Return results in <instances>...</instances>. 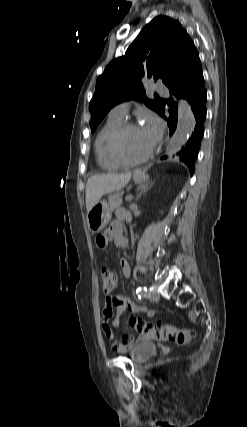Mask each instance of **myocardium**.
Returning a JSON list of instances; mask_svg holds the SVG:
<instances>
[{"label": "myocardium", "mask_w": 247, "mask_h": 427, "mask_svg": "<svg viewBox=\"0 0 247 427\" xmlns=\"http://www.w3.org/2000/svg\"><path fill=\"white\" fill-rule=\"evenodd\" d=\"M138 128V125L133 122H125L120 128L116 131L112 143L111 149L114 157L124 166L138 165L146 162L153 154L154 147L152 146L143 156L139 158L132 159L128 157L124 151V139L126 134L134 129Z\"/></svg>", "instance_id": "myocardium-1"}]
</instances>
